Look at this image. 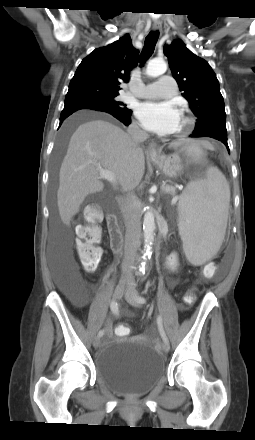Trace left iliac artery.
<instances>
[{"mask_svg": "<svg viewBox=\"0 0 255 440\" xmlns=\"http://www.w3.org/2000/svg\"><path fill=\"white\" fill-rule=\"evenodd\" d=\"M137 300H138V302H140L141 304H144V303L146 302V299H145L144 297H141V296H139V297L137 298ZM157 325H158V329H159V332H160V335H161L163 341H164V342H169V341H168V338H167V336H166V334H165V331H164V328H163L162 317H161L160 315L157 317Z\"/></svg>", "mask_w": 255, "mask_h": 440, "instance_id": "44dca946", "label": "left iliac artery"}]
</instances>
